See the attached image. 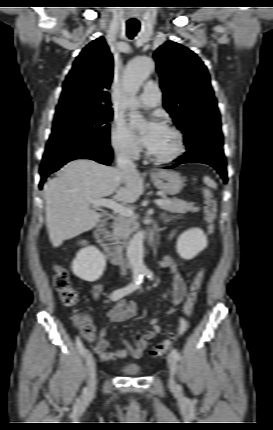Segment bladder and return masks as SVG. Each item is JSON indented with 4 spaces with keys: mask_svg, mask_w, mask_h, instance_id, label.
Wrapping results in <instances>:
<instances>
[{
    "mask_svg": "<svg viewBox=\"0 0 273 430\" xmlns=\"http://www.w3.org/2000/svg\"><path fill=\"white\" fill-rule=\"evenodd\" d=\"M140 371V367L136 364H130L123 368V373L129 376L138 375Z\"/></svg>",
    "mask_w": 273,
    "mask_h": 430,
    "instance_id": "bladder-1",
    "label": "bladder"
}]
</instances>
